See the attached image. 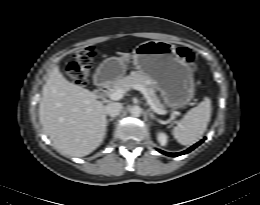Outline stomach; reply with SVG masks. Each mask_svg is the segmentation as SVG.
I'll return each mask as SVG.
<instances>
[{
    "instance_id": "stomach-1",
    "label": "stomach",
    "mask_w": 260,
    "mask_h": 205,
    "mask_svg": "<svg viewBox=\"0 0 260 205\" xmlns=\"http://www.w3.org/2000/svg\"><path fill=\"white\" fill-rule=\"evenodd\" d=\"M135 68L146 75L161 93L168 108H183L195 95L193 72L181 58L175 46L166 41L150 40L141 43L131 56ZM126 72L125 60L110 57L97 68L95 82L99 85L114 83Z\"/></svg>"
}]
</instances>
